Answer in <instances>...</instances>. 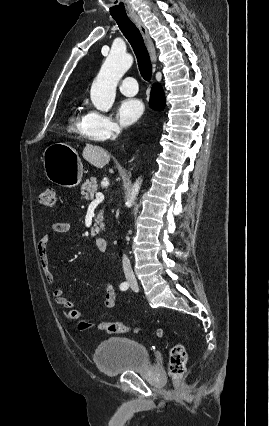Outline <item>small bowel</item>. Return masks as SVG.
Returning <instances> with one entry per match:
<instances>
[{
  "mask_svg": "<svg viewBox=\"0 0 269 426\" xmlns=\"http://www.w3.org/2000/svg\"><path fill=\"white\" fill-rule=\"evenodd\" d=\"M69 231V225L65 222H55L52 225L50 232L46 233L37 244V253L41 268L44 272L45 279L48 283L54 284L55 277L50 270V260L48 255V244L57 235H63ZM52 295L55 299L56 305L64 309H71L73 303L65 297L63 291L60 288H55L52 291ZM116 303V291L111 282L105 283V292L103 296V307L105 309H112Z\"/></svg>",
  "mask_w": 269,
  "mask_h": 426,
  "instance_id": "obj_1",
  "label": "small bowel"
}]
</instances>
